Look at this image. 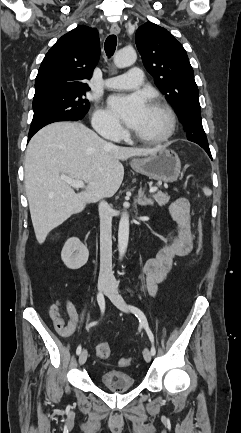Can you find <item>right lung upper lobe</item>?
I'll list each match as a JSON object with an SVG mask.
<instances>
[{
  "instance_id": "cb5924a9",
  "label": "right lung upper lobe",
  "mask_w": 241,
  "mask_h": 433,
  "mask_svg": "<svg viewBox=\"0 0 241 433\" xmlns=\"http://www.w3.org/2000/svg\"><path fill=\"white\" fill-rule=\"evenodd\" d=\"M100 55L96 29L79 25L63 35L45 55L35 80V95L85 93Z\"/></svg>"
}]
</instances>
